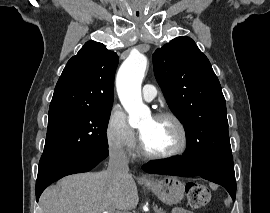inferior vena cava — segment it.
<instances>
[{"instance_id":"1","label":"inferior vena cava","mask_w":270,"mask_h":213,"mask_svg":"<svg viewBox=\"0 0 270 213\" xmlns=\"http://www.w3.org/2000/svg\"><path fill=\"white\" fill-rule=\"evenodd\" d=\"M128 158L123 149H113L109 153L107 174L112 178H121L129 173Z\"/></svg>"}]
</instances>
